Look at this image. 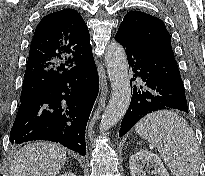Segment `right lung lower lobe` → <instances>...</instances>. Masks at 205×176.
I'll use <instances>...</instances> for the list:
<instances>
[{
  "label": "right lung lower lobe",
  "instance_id": "obj_1",
  "mask_svg": "<svg viewBox=\"0 0 205 176\" xmlns=\"http://www.w3.org/2000/svg\"><path fill=\"white\" fill-rule=\"evenodd\" d=\"M98 90L92 56L21 101L10 142L49 140L84 156L86 125Z\"/></svg>",
  "mask_w": 205,
  "mask_h": 176
}]
</instances>
